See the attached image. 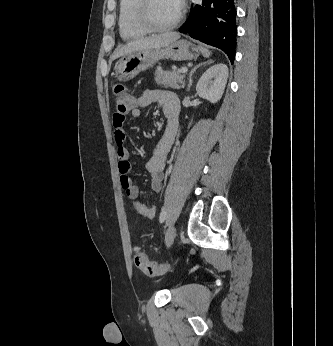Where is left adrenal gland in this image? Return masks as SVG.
<instances>
[{"mask_svg":"<svg viewBox=\"0 0 333 346\" xmlns=\"http://www.w3.org/2000/svg\"><path fill=\"white\" fill-rule=\"evenodd\" d=\"M211 63V60L207 61V62H203V63H199L198 65L194 66L193 69L190 71L189 73V78H188V86H187V91L190 90L191 85H192V75L194 74V72L196 71V69H198L199 67H201L202 65Z\"/></svg>","mask_w":333,"mask_h":346,"instance_id":"a2214340","label":"left adrenal gland"}]
</instances>
